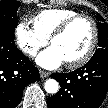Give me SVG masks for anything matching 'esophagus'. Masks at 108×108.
Instances as JSON below:
<instances>
[{"label":"esophagus","instance_id":"obj_1","mask_svg":"<svg viewBox=\"0 0 108 108\" xmlns=\"http://www.w3.org/2000/svg\"><path fill=\"white\" fill-rule=\"evenodd\" d=\"M39 73H40L41 78H46V77H48L50 75L49 72L44 71V70H40Z\"/></svg>","mask_w":108,"mask_h":108}]
</instances>
